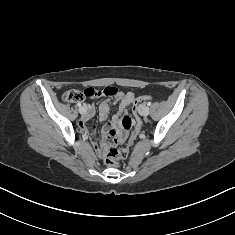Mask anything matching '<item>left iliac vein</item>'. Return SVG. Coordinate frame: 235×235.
Segmentation results:
<instances>
[{
  "instance_id": "left-iliac-vein-1",
  "label": "left iliac vein",
  "mask_w": 235,
  "mask_h": 235,
  "mask_svg": "<svg viewBox=\"0 0 235 235\" xmlns=\"http://www.w3.org/2000/svg\"><path fill=\"white\" fill-rule=\"evenodd\" d=\"M149 113H150L149 107H148V106H144V107L142 108V115H143V116H148Z\"/></svg>"
}]
</instances>
